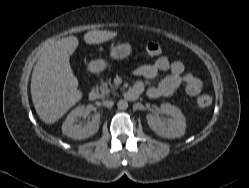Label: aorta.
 Returning <instances> with one entry per match:
<instances>
[{
    "instance_id": "762f6f07",
    "label": "aorta",
    "mask_w": 249,
    "mask_h": 188,
    "mask_svg": "<svg viewBox=\"0 0 249 188\" xmlns=\"http://www.w3.org/2000/svg\"><path fill=\"white\" fill-rule=\"evenodd\" d=\"M117 107L120 110H126L128 108V102L126 100H119L117 103Z\"/></svg>"
}]
</instances>
